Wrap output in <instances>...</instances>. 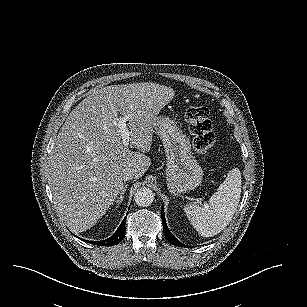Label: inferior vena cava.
Listing matches in <instances>:
<instances>
[{
	"label": "inferior vena cava",
	"instance_id": "obj_1",
	"mask_svg": "<svg viewBox=\"0 0 307 307\" xmlns=\"http://www.w3.org/2000/svg\"><path fill=\"white\" fill-rule=\"evenodd\" d=\"M133 177H134L133 173H126L123 177V180L128 181V180H131Z\"/></svg>",
	"mask_w": 307,
	"mask_h": 307
}]
</instances>
